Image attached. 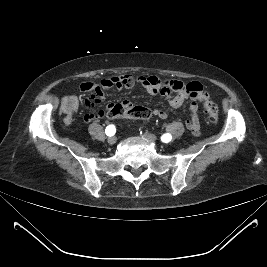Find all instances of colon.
Masks as SVG:
<instances>
[{
    "label": "colon",
    "instance_id": "colon-1",
    "mask_svg": "<svg viewBox=\"0 0 267 267\" xmlns=\"http://www.w3.org/2000/svg\"><path fill=\"white\" fill-rule=\"evenodd\" d=\"M203 108L207 119L212 123H216L219 118L218 105L209 99L204 102ZM108 116L111 119H118L122 117L148 119L151 116V111L142 106H131L126 109L117 106L108 112Z\"/></svg>",
    "mask_w": 267,
    "mask_h": 267
}]
</instances>
